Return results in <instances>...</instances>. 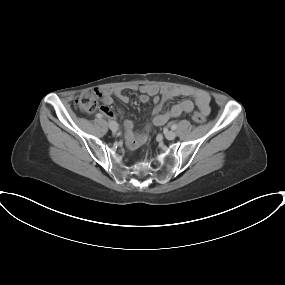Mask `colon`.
I'll list each match as a JSON object with an SVG mask.
<instances>
[{"instance_id": "obj_1", "label": "colon", "mask_w": 285, "mask_h": 285, "mask_svg": "<svg viewBox=\"0 0 285 285\" xmlns=\"http://www.w3.org/2000/svg\"><path fill=\"white\" fill-rule=\"evenodd\" d=\"M102 99V92L98 89L87 90L75 99V106L82 112L91 113L95 111ZM193 120L197 123H204L206 116L201 111L193 114Z\"/></svg>"}]
</instances>
